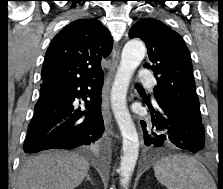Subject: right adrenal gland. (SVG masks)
<instances>
[{"instance_id": "1", "label": "right adrenal gland", "mask_w": 223, "mask_h": 189, "mask_svg": "<svg viewBox=\"0 0 223 189\" xmlns=\"http://www.w3.org/2000/svg\"><path fill=\"white\" fill-rule=\"evenodd\" d=\"M86 180H88V181H90L91 183H93V181H92V179L90 178L89 175H87V179H86Z\"/></svg>"}]
</instances>
